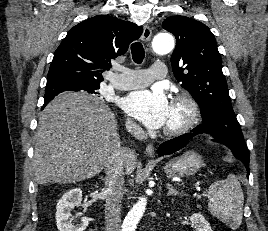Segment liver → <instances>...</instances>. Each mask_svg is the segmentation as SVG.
Returning a JSON list of instances; mask_svg holds the SVG:
<instances>
[{"label":"liver","instance_id":"1","mask_svg":"<svg viewBox=\"0 0 268 231\" xmlns=\"http://www.w3.org/2000/svg\"><path fill=\"white\" fill-rule=\"evenodd\" d=\"M122 149L117 120L98 97L83 92L58 95L39 117L32 161L37 184L75 183L99 174ZM136 160L126 162V173Z\"/></svg>","mask_w":268,"mask_h":231}]
</instances>
